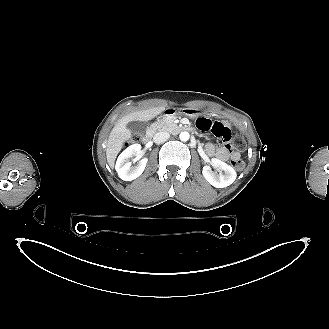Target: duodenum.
I'll use <instances>...</instances> for the list:
<instances>
[{
  "instance_id": "duodenum-1",
  "label": "duodenum",
  "mask_w": 329,
  "mask_h": 329,
  "mask_svg": "<svg viewBox=\"0 0 329 329\" xmlns=\"http://www.w3.org/2000/svg\"><path fill=\"white\" fill-rule=\"evenodd\" d=\"M174 114H175V110L172 108L166 109L164 111L165 116H173ZM151 138H152V134H151V132H148L144 135L142 141L144 144H148V143H150Z\"/></svg>"
}]
</instances>
